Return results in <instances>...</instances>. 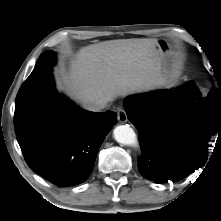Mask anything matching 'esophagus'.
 <instances>
[{"instance_id":"34e87169","label":"esophagus","mask_w":221,"mask_h":221,"mask_svg":"<svg viewBox=\"0 0 221 221\" xmlns=\"http://www.w3.org/2000/svg\"><path fill=\"white\" fill-rule=\"evenodd\" d=\"M117 117H118V120L121 122V123H125L127 122V113H126V110L121 108L118 110V113H117Z\"/></svg>"}]
</instances>
